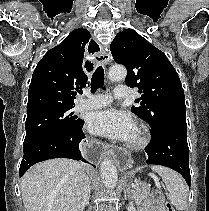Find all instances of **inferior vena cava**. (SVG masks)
<instances>
[{
    "label": "inferior vena cava",
    "mask_w": 209,
    "mask_h": 211,
    "mask_svg": "<svg viewBox=\"0 0 209 211\" xmlns=\"http://www.w3.org/2000/svg\"><path fill=\"white\" fill-rule=\"evenodd\" d=\"M90 180L87 177L84 183L83 192H82V201L84 204L88 203V200L90 198Z\"/></svg>",
    "instance_id": "1"
}]
</instances>
